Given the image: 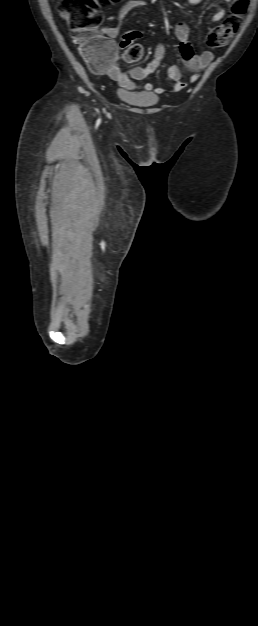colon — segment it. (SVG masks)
Returning a JSON list of instances; mask_svg holds the SVG:
<instances>
[{
  "label": "colon",
  "instance_id": "1",
  "mask_svg": "<svg viewBox=\"0 0 258 626\" xmlns=\"http://www.w3.org/2000/svg\"><path fill=\"white\" fill-rule=\"evenodd\" d=\"M231 1L230 15L206 38L210 47L225 46L240 28L250 0ZM119 2L121 0H59L58 9L69 25L72 39L81 45L82 54L96 69H102L105 65L100 39L95 36L96 28L102 21L100 9ZM137 36L138 33L133 32L122 39L121 47L127 62L139 61L144 55L143 46L134 42ZM190 80L195 81V76H191Z\"/></svg>",
  "mask_w": 258,
  "mask_h": 626
}]
</instances>
